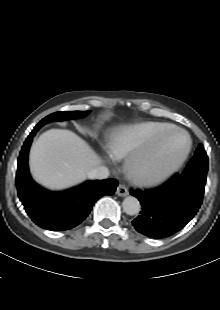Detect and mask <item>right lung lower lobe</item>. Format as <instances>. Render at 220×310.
<instances>
[{
  "label": "right lung lower lobe",
  "instance_id": "obj_1",
  "mask_svg": "<svg viewBox=\"0 0 220 310\" xmlns=\"http://www.w3.org/2000/svg\"><path fill=\"white\" fill-rule=\"evenodd\" d=\"M39 125L27 137L18 158L17 192L32 221L41 228L64 231L82 223L94 203L104 195H113L115 179L91 180L62 192H50L36 184L29 174L28 152Z\"/></svg>",
  "mask_w": 220,
  "mask_h": 310
}]
</instances>
